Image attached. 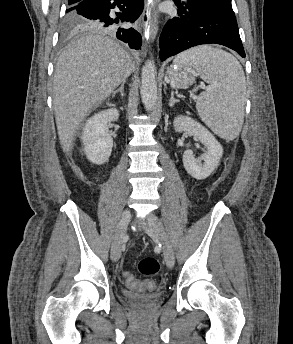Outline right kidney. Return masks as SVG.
I'll list each match as a JSON object with an SVG mask.
<instances>
[{
  "label": "right kidney",
  "instance_id": "1",
  "mask_svg": "<svg viewBox=\"0 0 293 344\" xmlns=\"http://www.w3.org/2000/svg\"><path fill=\"white\" fill-rule=\"evenodd\" d=\"M119 111L116 108L103 110L86 121L82 133V142L87 159L96 165L104 164L110 157L113 139L107 123L117 121Z\"/></svg>",
  "mask_w": 293,
  "mask_h": 344
}]
</instances>
